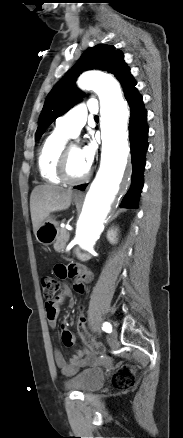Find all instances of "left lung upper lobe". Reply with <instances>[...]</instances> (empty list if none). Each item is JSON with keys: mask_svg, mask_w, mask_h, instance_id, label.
Returning a JSON list of instances; mask_svg holds the SVG:
<instances>
[{"mask_svg": "<svg viewBox=\"0 0 183 438\" xmlns=\"http://www.w3.org/2000/svg\"><path fill=\"white\" fill-rule=\"evenodd\" d=\"M100 69L114 74L124 88L133 79L124 61V54L113 45L99 44L88 48L68 73L48 94L39 117L36 140L59 116L79 102L82 93L75 87L76 78L85 70Z\"/></svg>", "mask_w": 183, "mask_h": 438, "instance_id": "left-lung-upper-lobe-1", "label": "left lung upper lobe"}]
</instances>
